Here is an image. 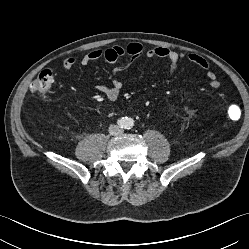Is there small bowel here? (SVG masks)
I'll use <instances>...</instances> for the list:
<instances>
[{"instance_id":"1","label":"small bowel","mask_w":249,"mask_h":249,"mask_svg":"<svg viewBox=\"0 0 249 249\" xmlns=\"http://www.w3.org/2000/svg\"><path fill=\"white\" fill-rule=\"evenodd\" d=\"M127 56L128 61L126 64L117 65L112 70V83L111 85H98L96 90L104 95L110 101H116L121 95L123 84L120 81L121 73L127 69L129 64L140 57H147L150 59H163L168 63V74L173 75L182 59H187L191 63L197 65L203 70H208L209 66L207 61L198 54L185 53L173 50L167 47H154L152 49H145L140 43H130L127 46H112L105 50L95 48L87 52L80 60L81 65H87L91 62L103 59L109 64H116L118 60ZM77 63L74 57H66L62 60V67L65 70L72 69ZM207 78L212 88L220 86V80L217 75L212 72H207Z\"/></svg>"}]
</instances>
